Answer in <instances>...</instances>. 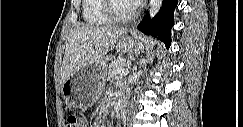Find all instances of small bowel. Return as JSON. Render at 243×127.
Listing matches in <instances>:
<instances>
[{
    "label": "small bowel",
    "instance_id": "1",
    "mask_svg": "<svg viewBox=\"0 0 243 127\" xmlns=\"http://www.w3.org/2000/svg\"><path fill=\"white\" fill-rule=\"evenodd\" d=\"M83 124H84V127H87L88 126V124H87L86 121H83Z\"/></svg>",
    "mask_w": 243,
    "mask_h": 127
}]
</instances>
